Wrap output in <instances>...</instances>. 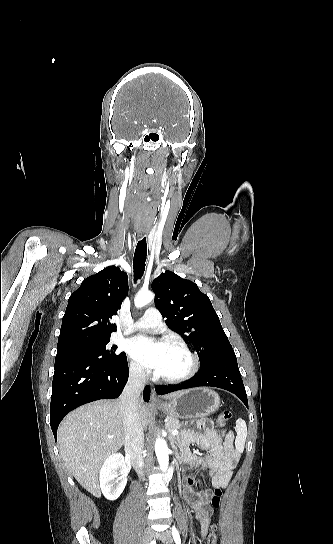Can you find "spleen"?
I'll return each mask as SVG.
<instances>
[{"label": "spleen", "mask_w": 333, "mask_h": 544, "mask_svg": "<svg viewBox=\"0 0 333 544\" xmlns=\"http://www.w3.org/2000/svg\"><path fill=\"white\" fill-rule=\"evenodd\" d=\"M235 431L237 434L235 440L236 448L237 450L242 451L244 449L247 437V426L245 420H243L242 418L236 420Z\"/></svg>", "instance_id": "3e777b00"}]
</instances>
